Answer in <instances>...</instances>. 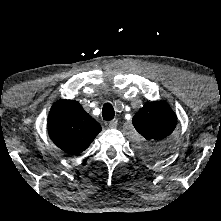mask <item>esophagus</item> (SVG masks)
Wrapping results in <instances>:
<instances>
[{
    "label": "esophagus",
    "mask_w": 221,
    "mask_h": 221,
    "mask_svg": "<svg viewBox=\"0 0 221 221\" xmlns=\"http://www.w3.org/2000/svg\"><path fill=\"white\" fill-rule=\"evenodd\" d=\"M117 125H118V120H117V119H113V120H111V121L109 122V128L114 129V128L117 127Z\"/></svg>",
    "instance_id": "34e87169"
}]
</instances>
